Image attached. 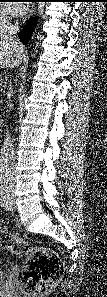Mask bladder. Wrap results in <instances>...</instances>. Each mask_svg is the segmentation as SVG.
<instances>
[{"mask_svg": "<svg viewBox=\"0 0 107 297\" xmlns=\"http://www.w3.org/2000/svg\"><path fill=\"white\" fill-rule=\"evenodd\" d=\"M4 279V273L0 269V280L2 281Z\"/></svg>", "mask_w": 107, "mask_h": 297, "instance_id": "31cf9c89", "label": "bladder"}]
</instances>
